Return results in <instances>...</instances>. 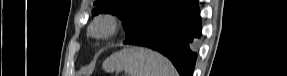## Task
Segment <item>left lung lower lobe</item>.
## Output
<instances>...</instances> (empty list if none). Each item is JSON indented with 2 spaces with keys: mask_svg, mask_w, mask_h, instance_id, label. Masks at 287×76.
Wrapping results in <instances>:
<instances>
[{
  "mask_svg": "<svg viewBox=\"0 0 287 76\" xmlns=\"http://www.w3.org/2000/svg\"><path fill=\"white\" fill-rule=\"evenodd\" d=\"M200 36L197 0H185L179 8L160 17L128 44L156 50L171 60L181 76H192L197 57L194 44Z\"/></svg>",
  "mask_w": 287,
  "mask_h": 76,
  "instance_id": "obj_1",
  "label": "left lung lower lobe"
}]
</instances>
